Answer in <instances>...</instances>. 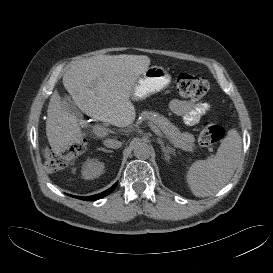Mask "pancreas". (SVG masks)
Wrapping results in <instances>:
<instances>
[{
    "label": "pancreas",
    "instance_id": "pancreas-1",
    "mask_svg": "<svg viewBox=\"0 0 273 273\" xmlns=\"http://www.w3.org/2000/svg\"><path fill=\"white\" fill-rule=\"evenodd\" d=\"M140 115L143 120H147L150 124L155 125L169 141L175 144V146L186 151L193 150L195 138L192 134L187 132L181 133L179 128L174 126L167 118L156 112L143 111Z\"/></svg>",
    "mask_w": 273,
    "mask_h": 273
}]
</instances>
